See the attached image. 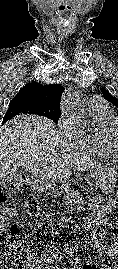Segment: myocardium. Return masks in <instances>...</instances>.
I'll use <instances>...</instances> for the list:
<instances>
[{
  "label": "myocardium",
  "instance_id": "f54148a6",
  "mask_svg": "<svg viewBox=\"0 0 118 269\" xmlns=\"http://www.w3.org/2000/svg\"><path fill=\"white\" fill-rule=\"evenodd\" d=\"M111 137H112V141H113V145L116 147V149L118 148V120L113 123L112 127H111ZM118 151V150H117Z\"/></svg>",
  "mask_w": 118,
  "mask_h": 269
}]
</instances>
